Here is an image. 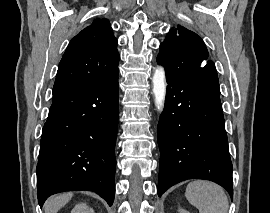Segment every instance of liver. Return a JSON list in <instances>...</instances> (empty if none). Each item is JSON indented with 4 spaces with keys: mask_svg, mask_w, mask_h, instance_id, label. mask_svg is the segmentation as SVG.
Here are the masks:
<instances>
[{
    "mask_svg": "<svg viewBox=\"0 0 270 213\" xmlns=\"http://www.w3.org/2000/svg\"><path fill=\"white\" fill-rule=\"evenodd\" d=\"M72 196V193H64L49 198L44 205L45 213H57L63 206H65V204L69 202Z\"/></svg>",
    "mask_w": 270,
    "mask_h": 213,
    "instance_id": "6515ba94",
    "label": "liver"
}]
</instances>
